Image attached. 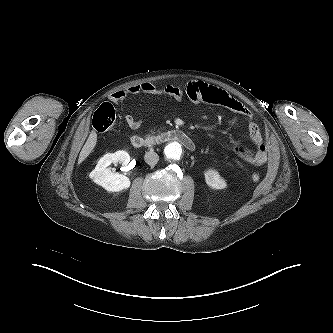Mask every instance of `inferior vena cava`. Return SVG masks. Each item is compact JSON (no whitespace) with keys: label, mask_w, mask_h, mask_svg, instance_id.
Returning <instances> with one entry per match:
<instances>
[{"label":"inferior vena cava","mask_w":333,"mask_h":333,"mask_svg":"<svg viewBox=\"0 0 333 333\" xmlns=\"http://www.w3.org/2000/svg\"><path fill=\"white\" fill-rule=\"evenodd\" d=\"M144 160L147 164L154 166L157 164V162L159 160V156L154 151H149L145 154Z\"/></svg>","instance_id":"1"}]
</instances>
